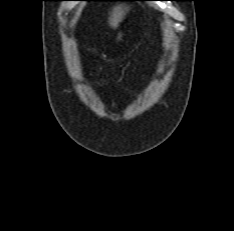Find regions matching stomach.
Here are the masks:
<instances>
[{
	"mask_svg": "<svg viewBox=\"0 0 234 231\" xmlns=\"http://www.w3.org/2000/svg\"><path fill=\"white\" fill-rule=\"evenodd\" d=\"M118 39H121V34L119 35Z\"/></svg>",
	"mask_w": 234,
	"mask_h": 231,
	"instance_id": "obj_1",
	"label": "stomach"
}]
</instances>
